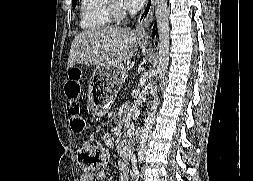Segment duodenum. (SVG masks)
Returning <instances> with one entry per match:
<instances>
[{
  "instance_id": "410a0bca",
  "label": "duodenum",
  "mask_w": 253,
  "mask_h": 181,
  "mask_svg": "<svg viewBox=\"0 0 253 181\" xmlns=\"http://www.w3.org/2000/svg\"><path fill=\"white\" fill-rule=\"evenodd\" d=\"M143 130H142V128L141 129H139L136 133H135V136L136 137H140L141 135H142V132Z\"/></svg>"
}]
</instances>
